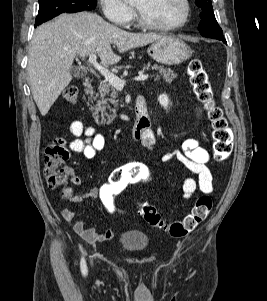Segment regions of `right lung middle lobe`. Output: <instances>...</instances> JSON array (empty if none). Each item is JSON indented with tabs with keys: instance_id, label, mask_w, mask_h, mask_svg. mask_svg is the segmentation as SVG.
Segmentation results:
<instances>
[{
	"instance_id": "dd1d6c3e",
	"label": "right lung middle lobe",
	"mask_w": 267,
	"mask_h": 301,
	"mask_svg": "<svg viewBox=\"0 0 267 301\" xmlns=\"http://www.w3.org/2000/svg\"><path fill=\"white\" fill-rule=\"evenodd\" d=\"M39 3L35 26L64 12L90 11L96 7V0H39Z\"/></svg>"
}]
</instances>
